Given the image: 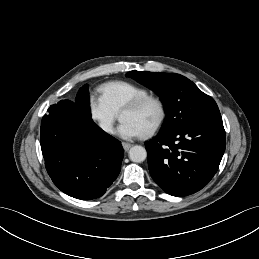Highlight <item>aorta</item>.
Returning <instances> with one entry per match:
<instances>
[{"label": "aorta", "instance_id": "aorta-1", "mask_svg": "<svg viewBox=\"0 0 259 259\" xmlns=\"http://www.w3.org/2000/svg\"><path fill=\"white\" fill-rule=\"evenodd\" d=\"M147 157L146 149L143 146L135 145L129 150V158L131 161L140 163Z\"/></svg>", "mask_w": 259, "mask_h": 259}]
</instances>
